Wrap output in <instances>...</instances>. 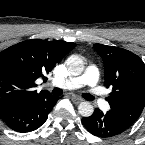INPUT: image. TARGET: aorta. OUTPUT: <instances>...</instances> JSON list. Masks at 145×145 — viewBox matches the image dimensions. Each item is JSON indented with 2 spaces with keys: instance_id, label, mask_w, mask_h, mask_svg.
<instances>
[{
  "instance_id": "1",
  "label": "aorta",
  "mask_w": 145,
  "mask_h": 145,
  "mask_svg": "<svg viewBox=\"0 0 145 145\" xmlns=\"http://www.w3.org/2000/svg\"><path fill=\"white\" fill-rule=\"evenodd\" d=\"M68 70L72 75H80L84 70L83 60L77 56L72 55L67 59ZM78 111L83 117H89L93 114L94 108L89 102H81L78 106Z\"/></svg>"
}]
</instances>
